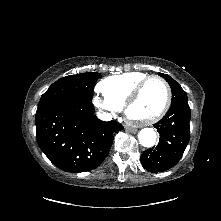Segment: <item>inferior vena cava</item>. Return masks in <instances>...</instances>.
Returning <instances> with one entry per match:
<instances>
[{
	"instance_id": "602c4592",
	"label": "inferior vena cava",
	"mask_w": 221,
	"mask_h": 221,
	"mask_svg": "<svg viewBox=\"0 0 221 221\" xmlns=\"http://www.w3.org/2000/svg\"><path fill=\"white\" fill-rule=\"evenodd\" d=\"M97 116L99 119L103 120V121H110L112 119L111 114L105 113L103 111H99L97 113Z\"/></svg>"
}]
</instances>
